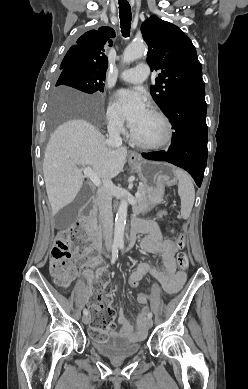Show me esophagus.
Listing matches in <instances>:
<instances>
[{"mask_svg": "<svg viewBox=\"0 0 248 389\" xmlns=\"http://www.w3.org/2000/svg\"><path fill=\"white\" fill-rule=\"evenodd\" d=\"M129 159L131 161H137V160H140V156L137 152L135 151H131L130 154H129Z\"/></svg>", "mask_w": 248, "mask_h": 389, "instance_id": "34e87169", "label": "esophagus"}]
</instances>
